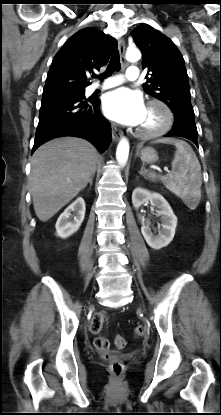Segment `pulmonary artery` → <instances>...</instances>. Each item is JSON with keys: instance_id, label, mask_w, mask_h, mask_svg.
<instances>
[{"instance_id": "obj_1", "label": "pulmonary artery", "mask_w": 221, "mask_h": 415, "mask_svg": "<svg viewBox=\"0 0 221 415\" xmlns=\"http://www.w3.org/2000/svg\"><path fill=\"white\" fill-rule=\"evenodd\" d=\"M139 77V69L136 66H130L127 68L125 73V78L122 76H113L108 79H106L101 84H94L90 87V91H96V90H105L110 89L113 87H116L124 82V80L134 81L138 79Z\"/></svg>"}]
</instances>
